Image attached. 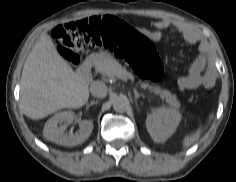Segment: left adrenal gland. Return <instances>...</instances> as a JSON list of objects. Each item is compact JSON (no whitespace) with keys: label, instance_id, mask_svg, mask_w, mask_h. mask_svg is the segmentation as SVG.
I'll use <instances>...</instances> for the list:
<instances>
[{"label":"left adrenal gland","instance_id":"left-adrenal-gland-1","mask_svg":"<svg viewBox=\"0 0 236 182\" xmlns=\"http://www.w3.org/2000/svg\"><path fill=\"white\" fill-rule=\"evenodd\" d=\"M133 92H134V95H135V102L137 104V100L142 97V98H145L146 96L142 93H138L136 89H133Z\"/></svg>","mask_w":236,"mask_h":182}]
</instances>
